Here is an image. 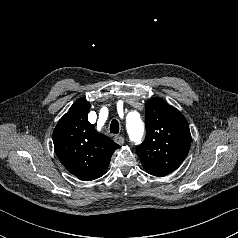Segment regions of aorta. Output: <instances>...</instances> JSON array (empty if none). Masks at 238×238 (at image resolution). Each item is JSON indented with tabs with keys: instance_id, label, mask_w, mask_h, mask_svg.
Returning a JSON list of instances; mask_svg holds the SVG:
<instances>
[{
	"instance_id": "1",
	"label": "aorta",
	"mask_w": 238,
	"mask_h": 238,
	"mask_svg": "<svg viewBox=\"0 0 238 238\" xmlns=\"http://www.w3.org/2000/svg\"><path fill=\"white\" fill-rule=\"evenodd\" d=\"M126 127L130 140L139 144L144 134V123L137 112L131 111L127 114Z\"/></svg>"
}]
</instances>
